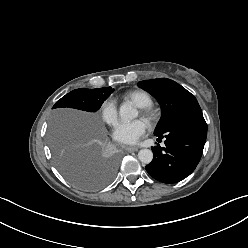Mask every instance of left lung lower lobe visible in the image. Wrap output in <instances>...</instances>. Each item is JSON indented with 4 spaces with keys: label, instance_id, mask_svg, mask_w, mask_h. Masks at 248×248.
<instances>
[{
    "label": "left lung lower lobe",
    "instance_id": "1",
    "mask_svg": "<svg viewBox=\"0 0 248 248\" xmlns=\"http://www.w3.org/2000/svg\"><path fill=\"white\" fill-rule=\"evenodd\" d=\"M165 147H152L153 160L147 172L163 183H176L189 176L202 156L207 137V124L200 107L190 109L176 119L163 133Z\"/></svg>",
    "mask_w": 248,
    "mask_h": 248
}]
</instances>
